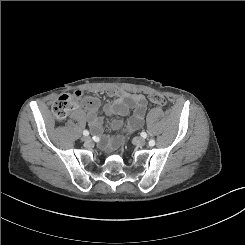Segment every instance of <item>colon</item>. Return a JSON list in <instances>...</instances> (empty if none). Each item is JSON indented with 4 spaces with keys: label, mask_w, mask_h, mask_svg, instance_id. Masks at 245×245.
<instances>
[{
    "label": "colon",
    "mask_w": 245,
    "mask_h": 245,
    "mask_svg": "<svg viewBox=\"0 0 245 245\" xmlns=\"http://www.w3.org/2000/svg\"><path fill=\"white\" fill-rule=\"evenodd\" d=\"M80 94L74 95L64 94L59 96L52 106V111L57 120H64L69 112L76 106ZM149 100L156 105L164 106L167 103V99L162 94L154 93L149 95Z\"/></svg>",
    "instance_id": "obj_1"
}]
</instances>
